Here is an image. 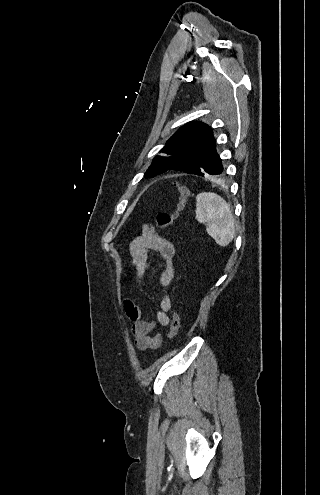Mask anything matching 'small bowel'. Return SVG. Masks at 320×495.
<instances>
[{
  "label": "small bowel",
  "mask_w": 320,
  "mask_h": 495,
  "mask_svg": "<svg viewBox=\"0 0 320 495\" xmlns=\"http://www.w3.org/2000/svg\"><path fill=\"white\" fill-rule=\"evenodd\" d=\"M153 252L159 253L163 262L159 276V285L163 291L156 320H145L142 310L130 301H126L124 306L127 316L132 321L131 331L135 345L140 350L157 349L161 345V335L153 334V330L157 324L161 326L170 324L168 311L171 309V300L165 288L172 282L175 275L173 261L176 251L173 243L160 235L152 224H146L142 228V233L130 244L131 264L136 269L140 282H143L150 269V254Z\"/></svg>",
  "instance_id": "small-bowel-1"
}]
</instances>
